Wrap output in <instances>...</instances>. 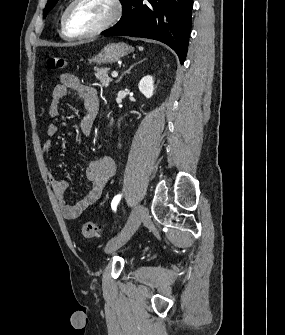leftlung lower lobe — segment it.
Instances as JSON below:
<instances>
[{
	"label": "left lung lower lobe",
	"mask_w": 285,
	"mask_h": 335,
	"mask_svg": "<svg viewBox=\"0 0 285 335\" xmlns=\"http://www.w3.org/2000/svg\"><path fill=\"white\" fill-rule=\"evenodd\" d=\"M123 16L104 36H131L161 41L183 64L191 31L193 0H123Z\"/></svg>",
	"instance_id": "0a47b994"
}]
</instances>
